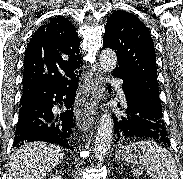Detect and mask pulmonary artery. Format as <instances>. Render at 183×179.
Returning <instances> with one entry per match:
<instances>
[{
  "mask_svg": "<svg viewBox=\"0 0 183 179\" xmlns=\"http://www.w3.org/2000/svg\"><path fill=\"white\" fill-rule=\"evenodd\" d=\"M111 83H112L114 86H116L120 98H121L123 101H125V93H124V91H123V89H122V87H121V85H120V81L117 80V79H113V80L111 81Z\"/></svg>",
  "mask_w": 183,
  "mask_h": 179,
  "instance_id": "1",
  "label": "pulmonary artery"
}]
</instances>
